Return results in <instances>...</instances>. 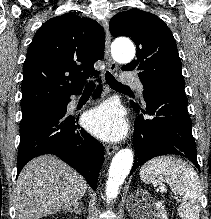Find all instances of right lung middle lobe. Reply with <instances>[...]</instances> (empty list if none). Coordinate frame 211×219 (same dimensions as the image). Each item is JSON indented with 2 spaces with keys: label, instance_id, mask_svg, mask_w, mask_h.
<instances>
[{
  "label": "right lung middle lobe",
  "instance_id": "obj_1",
  "mask_svg": "<svg viewBox=\"0 0 211 219\" xmlns=\"http://www.w3.org/2000/svg\"><path fill=\"white\" fill-rule=\"evenodd\" d=\"M61 101L62 100L43 101V102H36V103L21 105L22 116H26L38 110L53 106L56 103L61 102Z\"/></svg>",
  "mask_w": 211,
  "mask_h": 219
}]
</instances>
